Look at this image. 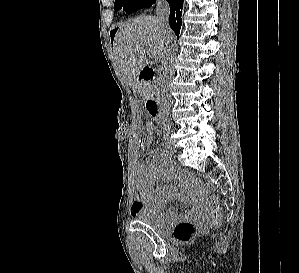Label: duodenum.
<instances>
[{
  "label": "duodenum",
  "mask_w": 299,
  "mask_h": 273,
  "mask_svg": "<svg viewBox=\"0 0 299 273\" xmlns=\"http://www.w3.org/2000/svg\"><path fill=\"white\" fill-rule=\"evenodd\" d=\"M138 80L143 88V93L145 96V105L148 114L154 119H156V121L161 122L159 102L152 90L154 70L150 66H143L138 73Z\"/></svg>",
  "instance_id": "1"
}]
</instances>
